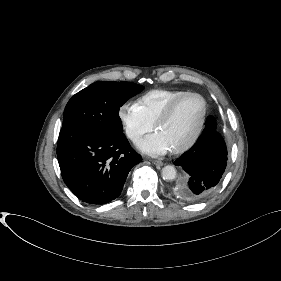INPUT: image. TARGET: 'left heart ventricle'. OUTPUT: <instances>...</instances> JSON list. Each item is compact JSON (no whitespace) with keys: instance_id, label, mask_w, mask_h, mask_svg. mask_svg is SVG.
Segmentation results:
<instances>
[{"instance_id":"b2bd125f","label":"left heart ventricle","mask_w":281,"mask_h":281,"mask_svg":"<svg viewBox=\"0 0 281 281\" xmlns=\"http://www.w3.org/2000/svg\"><path fill=\"white\" fill-rule=\"evenodd\" d=\"M202 115V103L197 97L182 100L170 117L156 132L169 146L170 150L186 143L194 134Z\"/></svg>"}]
</instances>
